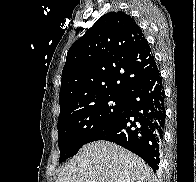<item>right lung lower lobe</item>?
Segmentation results:
<instances>
[{
    "label": "right lung lower lobe",
    "instance_id": "right-lung-lower-lobe-1",
    "mask_svg": "<svg viewBox=\"0 0 196 182\" xmlns=\"http://www.w3.org/2000/svg\"><path fill=\"white\" fill-rule=\"evenodd\" d=\"M165 93L157 65L137 82L122 112L91 139L107 140L140 156L153 169L159 168V149L165 125Z\"/></svg>",
    "mask_w": 196,
    "mask_h": 182
}]
</instances>
